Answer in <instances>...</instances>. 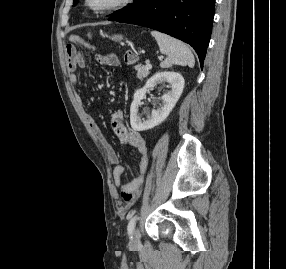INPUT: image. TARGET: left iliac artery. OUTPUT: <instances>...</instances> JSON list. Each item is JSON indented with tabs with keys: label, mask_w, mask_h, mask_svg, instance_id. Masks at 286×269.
<instances>
[{
	"label": "left iliac artery",
	"mask_w": 286,
	"mask_h": 269,
	"mask_svg": "<svg viewBox=\"0 0 286 269\" xmlns=\"http://www.w3.org/2000/svg\"><path fill=\"white\" fill-rule=\"evenodd\" d=\"M137 219H138V216H137V215H134V216H132V217L130 218L129 223H128V226H127V230H128V234H129V235L132 234Z\"/></svg>",
	"instance_id": "left-iliac-artery-1"
}]
</instances>
